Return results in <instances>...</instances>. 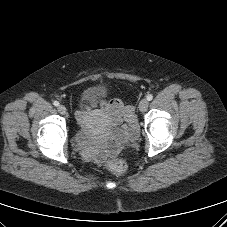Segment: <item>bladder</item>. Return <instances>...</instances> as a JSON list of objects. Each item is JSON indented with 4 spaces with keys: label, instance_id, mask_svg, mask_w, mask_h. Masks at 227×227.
I'll use <instances>...</instances> for the list:
<instances>
[{
    "label": "bladder",
    "instance_id": "31cf9c89",
    "mask_svg": "<svg viewBox=\"0 0 227 227\" xmlns=\"http://www.w3.org/2000/svg\"><path fill=\"white\" fill-rule=\"evenodd\" d=\"M105 93V89L101 86H94L85 89L79 97V106L81 108H94L98 99ZM96 120V113L90 111L85 114L82 121L84 126H91Z\"/></svg>",
    "mask_w": 227,
    "mask_h": 227
}]
</instances>
